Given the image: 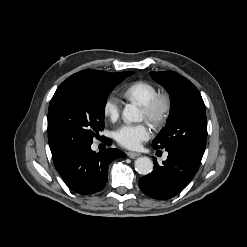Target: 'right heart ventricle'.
<instances>
[{"label":"right heart ventricle","instance_id":"right-heart-ventricle-1","mask_svg":"<svg viewBox=\"0 0 247 247\" xmlns=\"http://www.w3.org/2000/svg\"><path fill=\"white\" fill-rule=\"evenodd\" d=\"M157 94V87L152 83L143 80L131 83L123 91V96L126 99L135 102L140 106L147 104Z\"/></svg>","mask_w":247,"mask_h":247}]
</instances>
